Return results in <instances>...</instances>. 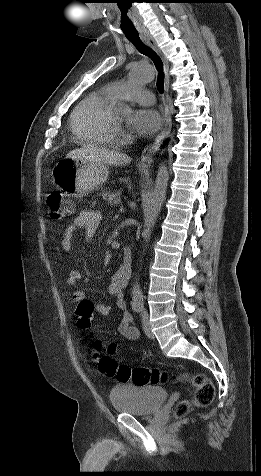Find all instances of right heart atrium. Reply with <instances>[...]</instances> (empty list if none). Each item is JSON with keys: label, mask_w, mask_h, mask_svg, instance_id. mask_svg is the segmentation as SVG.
Returning a JSON list of instances; mask_svg holds the SVG:
<instances>
[{"label": "right heart atrium", "mask_w": 261, "mask_h": 476, "mask_svg": "<svg viewBox=\"0 0 261 476\" xmlns=\"http://www.w3.org/2000/svg\"><path fill=\"white\" fill-rule=\"evenodd\" d=\"M116 135L117 136H120V137H124L125 136V132L123 129H121L120 127H117L116 128Z\"/></svg>", "instance_id": "d8ad5b80"}]
</instances>
